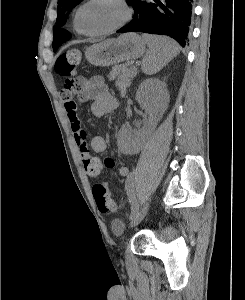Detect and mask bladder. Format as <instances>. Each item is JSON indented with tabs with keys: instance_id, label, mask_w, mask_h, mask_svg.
<instances>
[{
	"instance_id": "1",
	"label": "bladder",
	"mask_w": 245,
	"mask_h": 300,
	"mask_svg": "<svg viewBox=\"0 0 245 300\" xmlns=\"http://www.w3.org/2000/svg\"><path fill=\"white\" fill-rule=\"evenodd\" d=\"M111 228L114 234L121 235L126 230V223L122 219L114 218L111 221Z\"/></svg>"
}]
</instances>
